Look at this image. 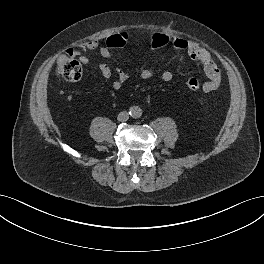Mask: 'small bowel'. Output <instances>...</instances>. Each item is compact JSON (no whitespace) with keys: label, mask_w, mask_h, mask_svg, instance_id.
Wrapping results in <instances>:
<instances>
[{"label":"small bowel","mask_w":264,"mask_h":264,"mask_svg":"<svg viewBox=\"0 0 264 264\" xmlns=\"http://www.w3.org/2000/svg\"><path fill=\"white\" fill-rule=\"evenodd\" d=\"M170 42L174 49L186 52L190 59L200 63L206 78L204 82L205 92L213 91L219 87L221 83V74L207 50L200 47L197 43L182 37H174L170 39ZM95 50H99L103 58H111V50L107 48L106 45L101 46L97 39L87 41L79 47L69 50V53L79 56V61L85 65L88 64L90 60L88 54ZM99 71L105 79H109L112 76V68L107 63L99 64ZM115 73L116 78L112 81L111 86L113 89L119 90L130 79L131 74L120 68H115ZM138 76L142 80H150L154 76V72L151 69H142ZM161 79L165 82H169L173 79V73L169 70H165L161 74Z\"/></svg>","instance_id":"c3829d8e"}]
</instances>
